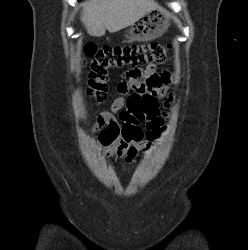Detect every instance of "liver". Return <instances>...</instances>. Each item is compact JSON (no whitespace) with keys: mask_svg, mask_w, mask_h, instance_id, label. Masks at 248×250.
<instances>
[{"mask_svg":"<svg viewBox=\"0 0 248 250\" xmlns=\"http://www.w3.org/2000/svg\"><path fill=\"white\" fill-rule=\"evenodd\" d=\"M81 21L91 36L102 37L136 23L148 11L158 8L153 0H89L82 3Z\"/></svg>","mask_w":248,"mask_h":250,"instance_id":"1","label":"liver"}]
</instances>
